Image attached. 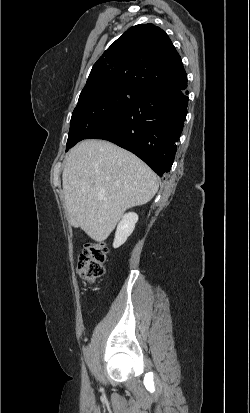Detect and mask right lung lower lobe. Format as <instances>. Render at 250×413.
<instances>
[{
  "instance_id": "right-lung-lower-lobe-1",
  "label": "right lung lower lobe",
  "mask_w": 250,
  "mask_h": 413,
  "mask_svg": "<svg viewBox=\"0 0 250 413\" xmlns=\"http://www.w3.org/2000/svg\"><path fill=\"white\" fill-rule=\"evenodd\" d=\"M187 82L145 91L86 139H104L127 149L159 176L169 172L187 115Z\"/></svg>"
}]
</instances>
